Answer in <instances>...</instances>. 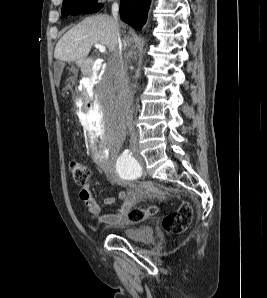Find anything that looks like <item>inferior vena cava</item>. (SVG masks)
I'll return each instance as SVG.
<instances>
[{"label": "inferior vena cava", "mask_w": 267, "mask_h": 298, "mask_svg": "<svg viewBox=\"0 0 267 298\" xmlns=\"http://www.w3.org/2000/svg\"><path fill=\"white\" fill-rule=\"evenodd\" d=\"M118 12L119 5L114 3L112 5V16L114 21V27L118 35V45L113 50L110 60L108 62L109 70L114 74L116 85V101L115 107L118 114L132 129L133 116L131 109L132 93L127 78V65L122 57V45L120 41L119 26H118Z\"/></svg>", "instance_id": "inferior-vena-cava-1"}]
</instances>
